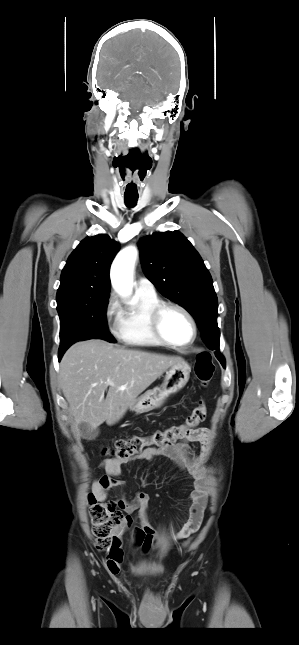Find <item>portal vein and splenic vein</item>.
Here are the masks:
<instances>
[{
    "label": "portal vein and splenic vein",
    "instance_id": "1",
    "mask_svg": "<svg viewBox=\"0 0 299 645\" xmlns=\"http://www.w3.org/2000/svg\"><path fill=\"white\" fill-rule=\"evenodd\" d=\"M107 384L108 385H113V383L111 381H108Z\"/></svg>",
    "mask_w": 299,
    "mask_h": 645
}]
</instances>
